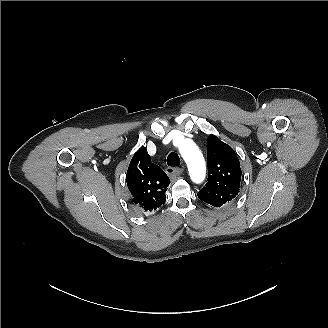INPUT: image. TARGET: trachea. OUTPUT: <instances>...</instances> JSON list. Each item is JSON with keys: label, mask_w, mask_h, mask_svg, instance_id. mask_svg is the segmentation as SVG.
<instances>
[{"label": "trachea", "mask_w": 328, "mask_h": 328, "mask_svg": "<svg viewBox=\"0 0 328 328\" xmlns=\"http://www.w3.org/2000/svg\"><path fill=\"white\" fill-rule=\"evenodd\" d=\"M180 163H181V161H180V158L177 153H175V152L169 153V155L167 157L168 166L176 167V166H179Z\"/></svg>", "instance_id": "trachea-1"}]
</instances>
